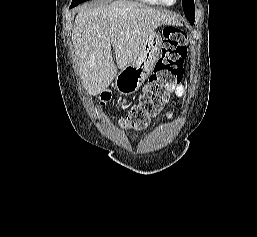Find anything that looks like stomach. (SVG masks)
<instances>
[{
  "instance_id": "obj_1",
  "label": "stomach",
  "mask_w": 257,
  "mask_h": 237,
  "mask_svg": "<svg viewBox=\"0 0 257 237\" xmlns=\"http://www.w3.org/2000/svg\"><path fill=\"white\" fill-rule=\"evenodd\" d=\"M161 41V36L153 32L136 60L120 71L116 78V88L121 94L130 95L140 88L159 58Z\"/></svg>"
}]
</instances>
